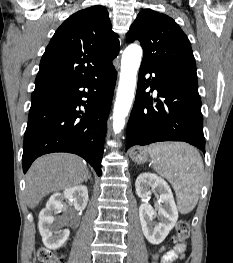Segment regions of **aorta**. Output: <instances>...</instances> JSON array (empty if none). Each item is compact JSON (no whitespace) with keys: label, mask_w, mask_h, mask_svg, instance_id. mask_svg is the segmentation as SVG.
<instances>
[{"label":"aorta","mask_w":233,"mask_h":263,"mask_svg":"<svg viewBox=\"0 0 233 263\" xmlns=\"http://www.w3.org/2000/svg\"><path fill=\"white\" fill-rule=\"evenodd\" d=\"M141 58L142 49L139 45H129L123 52L118 92L113 111L115 133L121 132L124 128L125 118L131 108Z\"/></svg>","instance_id":"1"}]
</instances>
